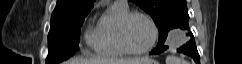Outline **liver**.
Instances as JSON below:
<instances>
[{"label": "liver", "instance_id": "6515ba94", "mask_svg": "<svg viewBox=\"0 0 242 64\" xmlns=\"http://www.w3.org/2000/svg\"><path fill=\"white\" fill-rule=\"evenodd\" d=\"M147 61H149L148 58H132V59L74 58L66 61L64 64H142Z\"/></svg>", "mask_w": 242, "mask_h": 64}]
</instances>
